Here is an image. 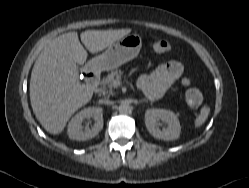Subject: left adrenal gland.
Listing matches in <instances>:
<instances>
[{
	"label": "left adrenal gland",
	"instance_id": "left-adrenal-gland-1",
	"mask_svg": "<svg viewBox=\"0 0 249 188\" xmlns=\"http://www.w3.org/2000/svg\"><path fill=\"white\" fill-rule=\"evenodd\" d=\"M140 102H148V100L147 99H143Z\"/></svg>",
	"mask_w": 249,
	"mask_h": 188
}]
</instances>
